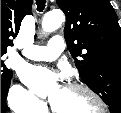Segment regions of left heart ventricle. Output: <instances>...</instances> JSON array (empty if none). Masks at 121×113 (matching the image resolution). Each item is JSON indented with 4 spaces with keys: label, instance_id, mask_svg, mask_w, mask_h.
Wrapping results in <instances>:
<instances>
[{
    "label": "left heart ventricle",
    "instance_id": "1",
    "mask_svg": "<svg viewBox=\"0 0 121 113\" xmlns=\"http://www.w3.org/2000/svg\"><path fill=\"white\" fill-rule=\"evenodd\" d=\"M52 104L55 106L56 110L61 113L99 110V106L96 102L86 94L67 87L61 88Z\"/></svg>",
    "mask_w": 121,
    "mask_h": 113
}]
</instances>
